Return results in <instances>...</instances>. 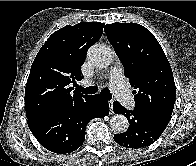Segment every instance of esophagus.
Wrapping results in <instances>:
<instances>
[{
    "mask_svg": "<svg viewBox=\"0 0 196 166\" xmlns=\"http://www.w3.org/2000/svg\"><path fill=\"white\" fill-rule=\"evenodd\" d=\"M109 105H110V114H113V101H109Z\"/></svg>",
    "mask_w": 196,
    "mask_h": 166,
    "instance_id": "34e87169",
    "label": "esophagus"
}]
</instances>
